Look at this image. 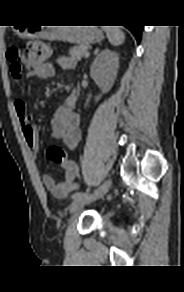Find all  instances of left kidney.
I'll return each mask as SVG.
<instances>
[{
  "label": "left kidney",
  "instance_id": "obj_1",
  "mask_svg": "<svg viewBox=\"0 0 184 292\" xmlns=\"http://www.w3.org/2000/svg\"><path fill=\"white\" fill-rule=\"evenodd\" d=\"M119 68L117 53L104 49L94 59L90 66V76L97 83L103 93H107L113 86ZM100 96L95 97L98 101Z\"/></svg>",
  "mask_w": 184,
  "mask_h": 292
}]
</instances>
